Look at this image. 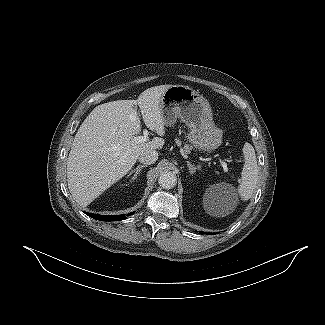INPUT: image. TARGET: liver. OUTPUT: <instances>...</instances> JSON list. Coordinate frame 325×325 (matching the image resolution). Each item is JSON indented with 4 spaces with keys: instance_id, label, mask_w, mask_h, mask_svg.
<instances>
[{
    "instance_id": "6515ba94",
    "label": "liver",
    "mask_w": 325,
    "mask_h": 325,
    "mask_svg": "<svg viewBox=\"0 0 325 325\" xmlns=\"http://www.w3.org/2000/svg\"><path fill=\"white\" fill-rule=\"evenodd\" d=\"M172 85L146 89L137 100H117L95 107L79 127L67 160L68 188L74 200L86 207L125 176L145 150L160 149L164 139L134 140L141 131L138 105L145 125L165 134L160 101Z\"/></svg>"
}]
</instances>
